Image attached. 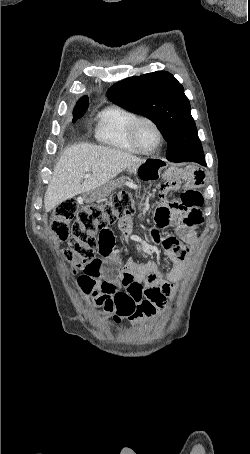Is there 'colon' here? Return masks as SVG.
I'll return each instance as SVG.
<instances>
[{
	"instance_id": "1",
	"label": "colon",
	"mask_w": 250,
	"mask_h": 454,
	"mask_svg": "<svg viewBox=\"0 0 250 454\" xmlns=\"http://www.w3.org/2000/svg\"><path fill=\"white\" fill-rule=\"evenodd\" d=\"M137 206L140 205L133 195L123 191L115 193L106 202L85 208H79L72 199L64 200L55 207L51 227L58 238L67 243L65 258L75 272L95 258L97 234L117 220L132 215Z\"/></svg>"
}]
</instances>
